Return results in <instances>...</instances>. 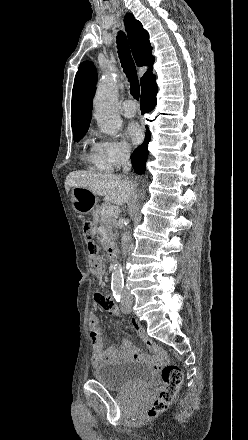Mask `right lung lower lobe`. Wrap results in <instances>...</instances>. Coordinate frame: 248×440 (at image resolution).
Masks as SVG:
<instances>
[{"mask_svg": "<svg viewBox=\"0 0 248 440\" xmlns=\"http://www.w3.org/2000/svg\"><path fill=\"white\" fill-rule=\"evenodd\" d=\"M158 88L155 83V80L151 81L147 84V86L142 89L141 93V113H148L152 111L156 105V94H157ZM150 132L148 130V127H146V133H145V141L141 146H139L131 155V161L133 168L136 173L142 174L145 170V164L148 158V143L150 142Z\"/></svg>", "mask_w": 248, "mask_h": 440, "instance_id": "obj_1", "label": "right lung lower lobe"}]
</instances>
